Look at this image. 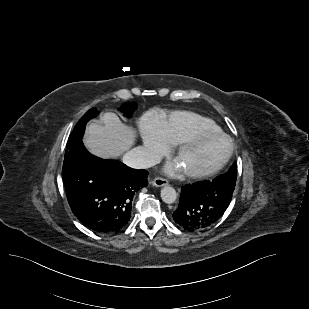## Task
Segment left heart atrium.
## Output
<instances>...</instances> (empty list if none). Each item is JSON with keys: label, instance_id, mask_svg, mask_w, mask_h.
I'll use <instances>...</instances> for the list:
<instances>
[{"label": "left heart atrium", "instance_id": "39dd6f15", "mask_svg": "<svg viewBox=\"0 0 309 309\" xmlns=\"http://www.w3.org/2000/svg\"><path fill=\"white\" fill-rule=\"evenodd\" d=\"M180 170L181 168L177 162H172L166 166V171L169 174H177L178 172H180Z\"/></svg>", "mask_w": 309, "mask_h": 309}]
</instances>
